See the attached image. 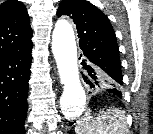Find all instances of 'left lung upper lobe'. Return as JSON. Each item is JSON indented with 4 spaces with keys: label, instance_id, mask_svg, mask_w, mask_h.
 <instances>
[{
    "label": "left lung upper lobe",
    "instance_id": "1",
    "mask_svg": "<svg viewBox=\"0 0 153 134\" xmlns=\"http://www.w3.org/2000/svg\"><path fill=\"white\" fill-rule=\"evenodd\" d=\"M61 15L74 20L86 60L108 74L104 85L119 90L123 85L119 49L107 16L86 0H62L57 10Z\"/></svg>",
    "mask_w": 153,
    "mask_h": 134
}]
</instances>
